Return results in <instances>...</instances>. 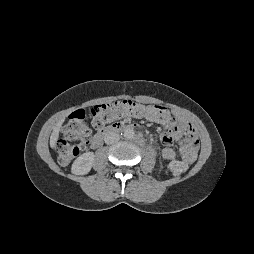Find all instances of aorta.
Instances as JSON below:
<instances>
[{
    "label": "aorta",
    "mask_w": 254,
    "mask_h": 254,
    "mask_svg": "<svg viewBox=\"0 0 254 254\" xmlns=\"http://www.w3.org/2000/svg\"><path fill=\"white\" fill-rule=\"evenodd\" d=\"M123 135L127 139H132L135 136V131L132 128H127L124 130Z\"/></svg>",
    "instance_id": "obj_1"
}]
</instances>
